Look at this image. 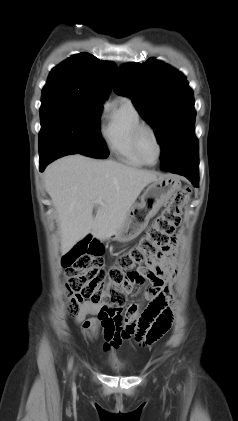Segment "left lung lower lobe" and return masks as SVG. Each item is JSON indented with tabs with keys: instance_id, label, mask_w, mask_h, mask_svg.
Here are the masks:
<instances>
[{
	"instance_id": "0a47b994",
	"label": "left lung lower lobe",
	"mask_w": 238,
	"mask_h": 421,
	"mask_svg": "<svg viewBox=\"0 0 238 421\" xmlns=\"http://www.w3.org/2000/svg\"><path fill=\"white\" fill-rule=\"evenodd\" d=\"M198 150L187 160L175 165L167 171L185 176L194 186L198 187Z\"/></svg>"
}]
</instances>
